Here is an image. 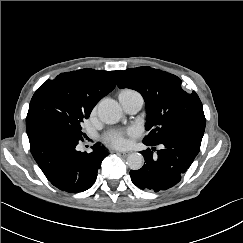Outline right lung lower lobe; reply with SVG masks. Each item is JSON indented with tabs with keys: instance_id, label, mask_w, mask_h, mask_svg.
Returning <instances> with one entry per match:
<instances>
[{
	"instance_id": "1",
	"label": "right lung lower lobe",
	"mask_w": 243,
	"mask_h": 243,
	"mask_svg": "<svg viewBox=\"0 0 243 243\" xmlns=\"http://www.w3.org/2000/svg\"><path fill=\"white\" fill-rule=\"evenodd\" d=\"M31 153L46 178L56 188L77 193L89 189L108 152L95 144L91 153L76 150L81 138L50 121L26 122Z\"/></svg>"
}]
</instances>
